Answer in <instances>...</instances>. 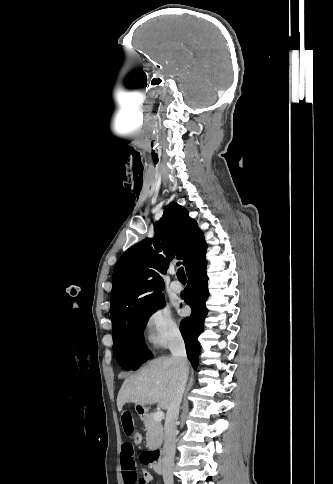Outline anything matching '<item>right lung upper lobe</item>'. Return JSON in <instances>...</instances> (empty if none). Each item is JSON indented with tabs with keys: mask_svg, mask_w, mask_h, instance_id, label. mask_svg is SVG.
I'll use <instances>...</instances> for the list:
<instances>
[{
	"mask_svg": "<svg viewBox=\"0 0 333 484\" xmlns=\"http://www.w3.org/2000/svg\"><path fill=\"white\" fill-rule=\"evenodd\" d=\"M207 244L188 211L171 202L154 226V237L146 238L124 252L112 277L110 314L112 333L137 310L164 296L169 262L183 259L187 273L205 260Z\"/></svg>",
	"mask_w": 333,
	"mask_h": 484,
	"instance_id": "right-lung-upper-lobe-1",
	"label": "right lung upper lobe"
}]
</instances>
